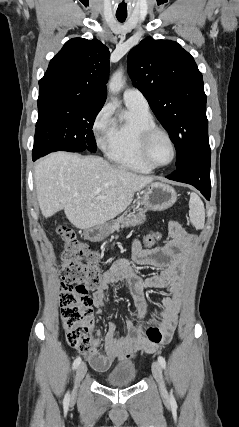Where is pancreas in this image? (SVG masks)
Here are the masks:
<instances>
[{
	"label": "pancreas",
	"mask_w": 239,
	"mask_h": 427,
	"mask_svg": "<svg viewBox=\"0 0 239 427\" xmlns=\"http://www.w3.org/2000/svg\"><path fill=\"white\" fill-rule=\"evenodd\" d=\"M135 211H137L138 213L135 215ZM144 214V211L142 208H138L137 210H134L133 213L128 214L127 216H121L120 218H118L116 220V222L113 223V225L109 228L110 232H114L115 230H117L121 226H124L125 224H128L130 222V219L133 216H141Z\"/></svg>",
	"instance_id": "obj_1"
}]
</instances>
